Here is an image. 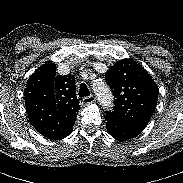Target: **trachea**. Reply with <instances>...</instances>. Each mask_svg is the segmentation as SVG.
Returning a JSON list of instances; mask_svg holds the SVG:
<instances>
[{
  "label": "trachea",
  "mask_w": 183,
  "mask_h": 183,
  "mask_svg": "<svg viewBox=\"0 0 183 183\" xmlns=\"http://www.w3.org/2000/svg\"><path fill=\"white\" fill-rule=\"evenodd\" d=\"M88 95H90V92H89L87 86L84 83H81L80 88H79V96L80 97H85V96H88Z\"/></svg>",
  "instance_id": "1"
}]
</instances>
